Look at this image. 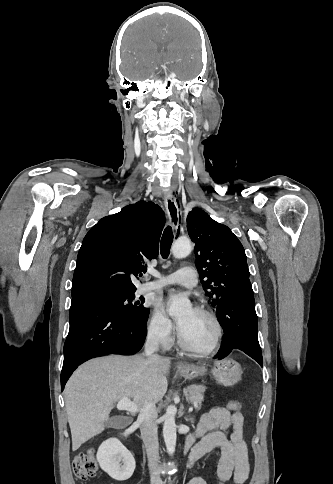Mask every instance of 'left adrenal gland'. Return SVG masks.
Here are the masks:
<instances>
[{"label": "left adrenal gland", "mask_w": 333, "mask_h": 484, "mask_svg": "<svg viewBox=\"0 0 333 484\" xmlns=\"http://www.w3.org/2000/svg\"><path fill=\"white\" fill-rule=\"evenodd\" d=\"M186 421H190V422L193 423L194 422V418H192V417L191 418H186Z\"/></svg>", "instance_id": "obj_1"}]
</instances>
